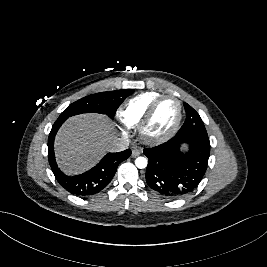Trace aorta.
<instances>
[{"instance_id": "1", "label": "aorta", "mask_w": 267, "mask_h": 267, "mask_svg": "<svg viewBox=\"0 0 267 267\" xmlns=\"http://www.w3.org/2000/svg\"><path fill=\"white\" fill-rule=\"evenodd\" d=\"M135 165L139 168V169H143L147 166V159L144 157H138L135 160Z\"/></svg>"}]
</instances>
